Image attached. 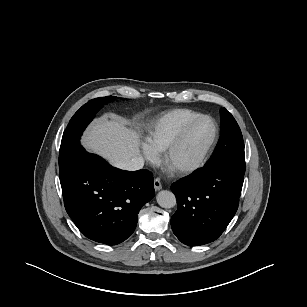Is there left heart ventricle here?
<instances>
[{"mask_svg": "<svg viewBox=\"0 0 307 307\" xmlns=\"http://www.w3.org/2000/svg\"><path fill=\"white\" fill-rule=\"evenodd\" d=\"M214 136V125L210 120H201L188 132L172 156L174 167L189 166L200 159Z\"/></svg>", "mask_w": 307, "mask_h": 307, "instance_id": "b2bd125f", "label": "left heart ventricle"}]
</instances>
